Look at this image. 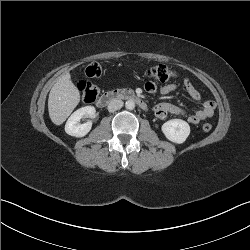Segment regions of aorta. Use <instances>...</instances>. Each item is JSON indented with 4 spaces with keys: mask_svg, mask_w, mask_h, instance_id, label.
I'll return each instance as SVG.
<instances>
[{
    "mask_svg": "<svg viewBox=\"0 0 250 250\" xmlns=\"http://www.w3.org/2000/svg\"><path fill=\"white\" fill-rule=\"evenodd\" d=\"M125 107L128 110H133L135 108V103L133 100H127L125 103Z\"/></svg>",
    "mask_w": 250,
    "mask_h": 250,
    "instance_id": "762f6f07",
    "label": "aorta"
}]
</instances>
